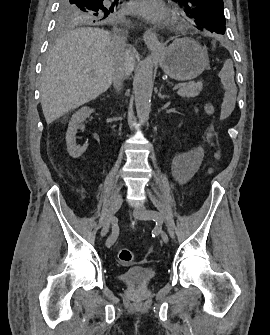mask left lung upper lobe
<instances>
[{
    "label": "left lung upper lobe",
    "instance_id": "obj_1",
    "mask_svg": "<svg viewBox=\"0 0 270 335\" xmlns=\"http://www.w3.org/2000/svg\"><path fill=\"white\" fill-rule=\"evenodd\" d=\"M178 1L198 29L225 33V16L223 0H173Z\"/></svg>",
    "mask_w": 270,
    "mask_h": 335
}]
</instances>
